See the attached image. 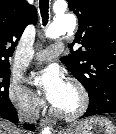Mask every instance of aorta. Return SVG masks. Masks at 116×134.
<instances>
[{"instance_id": "1", "label": "aorta", "mask_w": 116, "mask_h": 134, "mask_svg": "<svg viewBox=\"0 0 116 134\" xmlns=\"http://www.w3.org/2000/svg\"><path fill=\"white\" fill-rule=\"evenodd\" d=\"M76 25V18L70 13H65L56 18L46 31V37L58 38L69 30H73ZM42 134H52L50 127H45Z\"/></svg>"}]
</instances>
